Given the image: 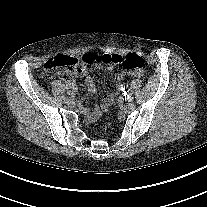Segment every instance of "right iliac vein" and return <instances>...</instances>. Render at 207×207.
Returning <instances> with one entry per match:
<instances>
[{
	"instance_id": "1",
	"label": "right iliac vein",
	"mask_w": 207,
	"mask_h": 207,
	"mask_svg": "<svg viewBox=\"0 0 207 207\" xmlns=\"http://www.w3.org/2000/svg\"><path fill=\"white\" fill-rule=\"evenodd\" d=\"M73 102H74V99L73 98H68V99H66V104L67 105H71V104H73Z\"/></svg>"
}]
</instances>
